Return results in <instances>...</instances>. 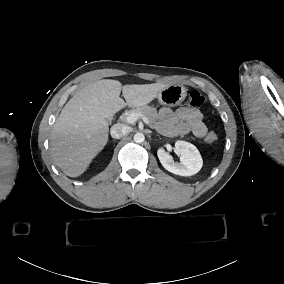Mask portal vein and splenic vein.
Segmentation results:
<instances>
[{
	"instance_id": "18ae733b",
	"label": "portal vein and splenic vein",
	"mask_w": 284,
	"mask_h": 284,
	"mask_svg": "<svg viewBox=\"0 0 284 284\" xmlns=\"http://www.w3.org/2000/svg\"><path fill=\"white\" fill-rule=\"evenodd\" d=\"M139 118H141L145 124H149L147 117L142 114L132 113L126 117L127 123L134 124Z\"/></svg>"
}]
</instances>
